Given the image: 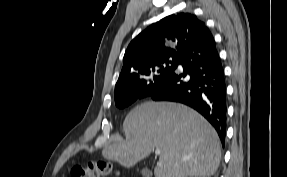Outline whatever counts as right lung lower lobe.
Wrapping results in <instances>:
<instances>
[{"label": "right lung lower lobe", "instance_id": "1", "mask_svg": "<svg viewBox=\"0 0 287 177\" xmlns=\"http://www.w3.org/2000/svg\"><path fill=\"white\" fill-rule=\"evenodd\" d=\"M173 72L155 83L139 98L186 104L202 114L216 129L222 144L226 135V85L220 57L209 29L183 50Z\"/></svg>", "mask_w": 287, "mask_h": 177}]
</instances>
